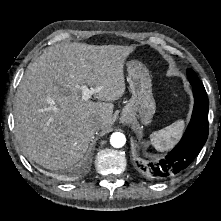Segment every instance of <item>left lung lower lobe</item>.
Returning a JSON list of instances; mask_svg holds the SVG:
<instances>
[{
  "mask_svg": "<svg viewBox=\"0 0 221 221\" xmlns=\"http://www.w3.org/2000/svg\"><path fill=\"white\" fill-rule=\"evenodd\" d=\"M193 87L194 108L190 123L175 148L158 163L138 166L153 180H164L186 169L196 158L208 137L209 100L205 89Z\"/></svg>",
  "mask_w": 221,
  "mask_h": 221,
  "instance_id": "obj_1",
  "label": "left lung lower lobe"
}]
</instances>
